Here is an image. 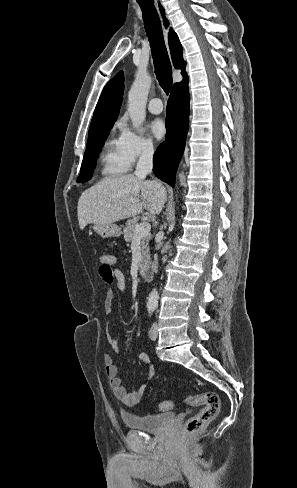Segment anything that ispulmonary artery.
<instances>
[{"mask_svg": "<svg viewBox=\"0 0 297 488\" xmlns=\"http://www.w3.org/2000/svg\"><path fill=\"white\" fill-rule=\"evenodd\" d=\"M147 108L152 114H160L163 111V105L159 98H152L148 102Z\"/></svg>", "mask_w": 297, "mask_h": 488, "instance_id": "pulmonary-artery-1", "label": "pulmonary artery"}]
</instances>
